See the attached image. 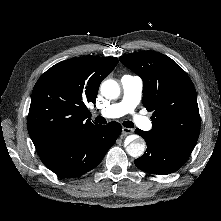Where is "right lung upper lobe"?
<instances>
[{"label": "right lung upper lobe", "mask_w": 221, "mask_h": 221, "mask_svg": "<svg viewBox=\"0 0 221 221\" xmlns=\"http://www.w3.org/2000/svg\"><path fill=\"white\" fill-rule=\"evenodd\" d=\"M117 64L115 57L85 56L60 62L38 79L27 121L38 153L96 125L86 104L94 103L101 81Z\"/></svg>", "instance_id": "obj_1"}]
</instances>
